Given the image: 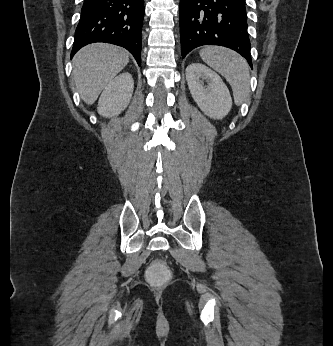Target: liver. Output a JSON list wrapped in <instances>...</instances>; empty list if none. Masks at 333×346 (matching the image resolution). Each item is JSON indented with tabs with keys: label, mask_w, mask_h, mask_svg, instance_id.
I'll use <instances>...</instances> for the list:
<instances>
[{
	"label": "liver",
	"mask_w": 333,
	"mask_h": 346,
	"mask_svg": "<svg viewBox=\"0 0 333 346\" xmlns=\"http://www.w3.org/2000/svg\"><path fill=\"white\" fill-rule=\"evenodd\" d=\"M128 62V53L111 44L94 43L80 49L73 59L72 74L82 100L92 105Z\"/></svg>",
	"instance_id": "1"
}]
</instances>
